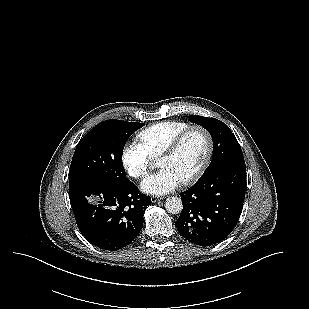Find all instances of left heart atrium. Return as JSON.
<instances>
[{
    "instance_id": "obj_1",
    "label": "left heart atrium",
    "mask_w": 309,
    "mask_h": 309,
    "mask_svg": "<svg viewBox=\"0 0 309 309\" xmlns=\"http://www.w3.org/2000/svg\"><path fill=\"white\" fill-rule=\"evenodd\" d=\"M181 184L182 179L174 171L169 168H163L146 178L141 188L149 194L163 195L174 191Z\"/></svg>"
}]
</instances>
